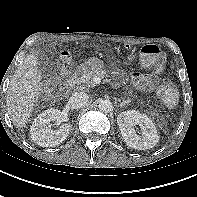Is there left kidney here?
Segmentation results:
<instances>
[{
  "label": "left kidney",
  "mask_w": 197,
  "mask_h": 197,
  "mask_svg": "<svg viewBox=\"0 0 197 197\" xmlns=\"http://www.w3.org/2000/svg\"><path fill=\"white\" fill-rule=\"evenodd\" d=\"M117 123L126 144L134 149L145 150L153 148L159 141V135L152 120L144 113L136 110L121 112ZM134 125H140L142 136L137 135Z\"/></svg>",
  "instance_id": "obj_1"
}]
</instances>
